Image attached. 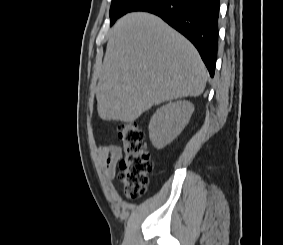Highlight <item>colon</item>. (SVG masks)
Returning <instances> with one entry per match:
<instances>
[{
	"instance_id": "1",
	"label": "colon",
	"mask_w": 283,
	"mask_h": 245,
	"mask_svg": "<svg viewBox=\"0 0 283 245\" xmlns=\"http://www.w3.org/2000/svg\"><path fill=\"white\" fill-rule=\"evenodd\" d=\"M118 138L122 143L120 180L127 198L136 200L146 192L149 174L152 171L150 153L145 143L144 132L136 123L118 126Z\"/></svg>"
}]
</instances>
